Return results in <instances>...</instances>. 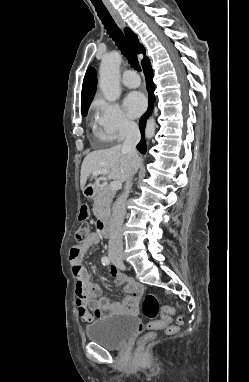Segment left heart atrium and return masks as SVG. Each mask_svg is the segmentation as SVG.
Wrapping results in <instances>:
<instances>
[{
	"mask_svg": "<svg viewBox=\"0 0 249 382\" xmlns=\"http://www.w3.org/2000/svg\"><path fill=\"white\" fill-rule=\"evenodd\" d=\"M124 105L131 116L137 117L145 110L146 99L140 92H131L125 98Z\"/></svg>",
	"mask_w": 249,
	"mask_h": 382,
	"instance_id": "obj_1",
	"label": "left heart atrium"
}]
</instances>
